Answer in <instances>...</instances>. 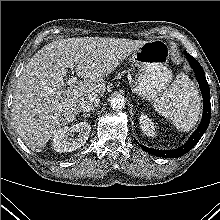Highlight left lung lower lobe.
<instances>
[{
	"instance_id": "left-lung-lower-lobe-1",
	"label": "left lung lower lobe",
	"mask_w": 220,
	"mask_h": 220,
	"mask_svg": "<svg viewBox=\"0 0 220 220\" xmlns=\"http://www.w3.org/2000/svg\"><path fill=\"white\" fill-rule=\"evenodd\" d=\"M185 56L188 59L190 66L194 70L196 79L198 80L201 93L203 96V116L199 127L194 131L188 141L181 147L174 149V150H156L152 148H148L145 146L140 145V147L145 150L146 152L163 158H176L180 157L187 152H189L201 139L202 135L208 128L210 118H211V104H210V89L207 83L205 73L203 68L201 67L200 63L188 54L185 51Z\"/></svg>"
}]
</instances>
